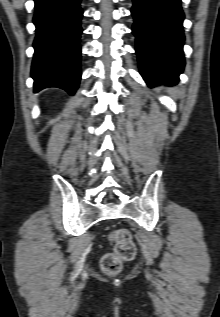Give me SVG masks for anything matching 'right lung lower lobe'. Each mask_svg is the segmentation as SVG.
Masks as SVG:
<instances>
[{
  "mask_svg": "<svg viewBox=\"0 0 220 317\" xmlns=\"http://www.w3.org/2000/svg\"><path fill=\"white\" fill-rule=\"evenodd\" d=\"M34 1V91L59 87L74 94L81 78V0Z\"/></svg>",
  "mask_w": 220,
  "mask_h": 317,
  "instance_id": "obj_1",
  "label": "right lung lower lobe"
}]
</instances>
